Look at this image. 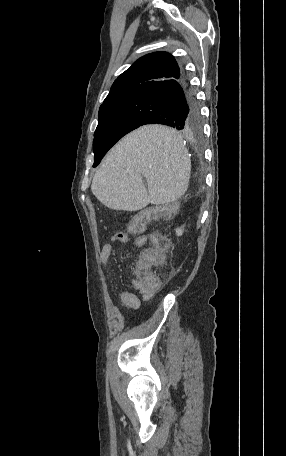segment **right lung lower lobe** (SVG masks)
Masks as SVG:
<instances>
[{
    "label": "right lung lower lobe",
    "mask_w": 286,
    "mask_h": 456,
    "mask_svg": "<svg viewBox=\"0 0 286 456\" xmlns=\"http://www.w3.org/2000/svg\"><path fill=\"white\" fill-rule=\"evenodd\" d=\"M127 98L135 110L137 127L158 123L184 133H194L200 128L199 107L184 74L141 88Z\"/></svg>",
    "instance_id": "right-lung-lower-lobe-1"
}]
</instances>
